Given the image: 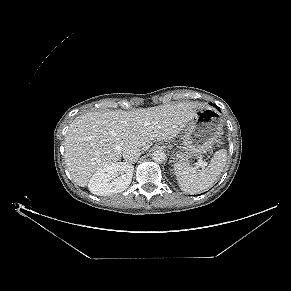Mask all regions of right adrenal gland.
<instances>
[{
    "mask_svg": "<svg viewBox=\"0 0 291 291\" xmlns=\"http://www.w3.org/2000/svg\"><path fill=\"white\" fill-rule=\"evenodd\" d=\"M136 161L131 162L132 164L135 163Z\"/></svg>",
    "mask_w": 291,
    "mask_h": 291,
    "instance_id": "1",
    "label": "right adrenal gland"
}]
</instances>
